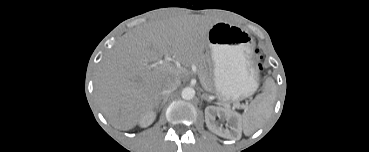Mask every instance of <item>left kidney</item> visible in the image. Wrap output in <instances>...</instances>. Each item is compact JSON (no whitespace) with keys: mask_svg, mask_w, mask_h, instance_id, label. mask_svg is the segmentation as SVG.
<instances>
[{"mask_svg":"<svg viewBox=\"0 0 369 152\" xmlns=\"http://www.w3.org/2000/svg\"><path fill=\"white\" fill-rule=\"evenodd\" d=\"M214 115L222 116L230 124V129H223L217 126L214 122ZM205 121L208 129L213 133L227 138V139H237L240 135V126L238 115L234 112L228 111L224 108L208 106L205 108Z\"/></svg>","mask_w":369,"mask_h":152,"instance_id":"left-kidney-1","label":"left kidney"}]
</instances>
